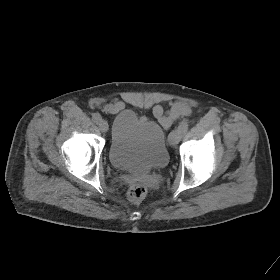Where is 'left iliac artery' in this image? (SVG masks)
Returning a JSON list of instances; mask_svg holds the SVG:
<instances>
[{
	"label": "left iliac artery",
	"instance_id": "obj_1",
	"mask_svg": "<svg viewBox=\"0 0 280 280\" xmlns=\"http://www.w3.org/2000/svg\"><path fill=\"white\" fill-rule=\"evenodd\" d=\"M189 125L186 121L180 123L178 130L181 134H185L188 131Z\"/></svg>",
	"mask_w": 280,
	"mask_h": 280
}]
</instances>
